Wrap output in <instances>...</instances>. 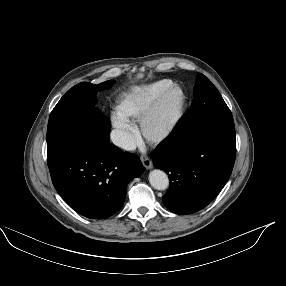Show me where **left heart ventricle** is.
Listing matches in <instances>:
<instances>
[{"label": "left heart ventricle", "instance_id": "1", "mask_svg": "<svg viewBox=\"0 0 286 286\" xmlns=\"http://www.w3.org/2000/svg\"><path fill=\"white\" fill-rule=\"evenodd\" d=\"M180 98V92L175 91L165 99L151 126L152 130L160 129L171 119L179 106Z\"/></svg>", "mask_w": 286, "mask_h": 286}]
</instances>
